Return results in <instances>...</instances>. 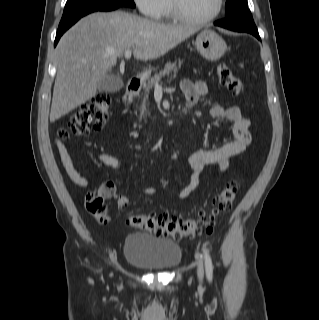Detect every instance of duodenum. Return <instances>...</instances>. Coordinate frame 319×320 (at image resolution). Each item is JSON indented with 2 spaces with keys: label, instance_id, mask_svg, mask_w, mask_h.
<instances>
[{
  "label": "duodenum",
  "instance_id": "obj_1",
  "mask_svg": "<svg viewBox=\"0 0 319 320\" xmlns=\"http://www.w3.org/2000/svg\"><path fill=\"white\" fill-rule=\"evenodd\" d=\"M142 77L140 76H134L128 80L126 91L127 95L130 96L138 91L142 84Z\"/></svg>",
  "mask_w": 319,
  "mask_h": 320
}]
</instances>
